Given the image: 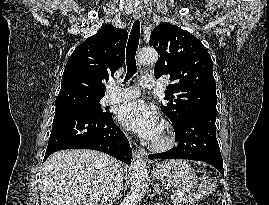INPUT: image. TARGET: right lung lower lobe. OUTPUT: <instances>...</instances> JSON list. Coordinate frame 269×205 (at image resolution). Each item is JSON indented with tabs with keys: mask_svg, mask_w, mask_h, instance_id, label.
Returning <instances> with one entry per match:
<instances>
[{
	"mask_svg": "<svg viewBox=\"0 0 269 205\" xmlns=\"http://www.w3.org/2000/svg\"><path fill=\"white\" fill-rule=\"evenodd\" d=\"M64 149H92L107 153L130 165L132 149L113 121L112 114L62 113L54 117L44 160Z\"/></svg>",
	"mask_w": 269,
	"mask_h": 205,
	"instance_id": "obj_1",
	"label": "right lung lower lobe"
}]
</instances>
